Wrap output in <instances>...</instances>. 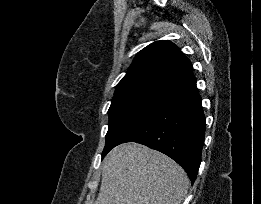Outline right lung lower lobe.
Masks as SVG:
<instances>
[{"instance_id": "1", "label": "right lung lower lobe", "mask_w": 261, "mask_h": 204, "mask_svg": "<svg viewBox=\"0 0 261 204\" xmlns=\"http://www.w3.org/2000/svg\"><path fill=\"white\" fill-rule=\"evenodd\" d=\"M204 133L205 115L196 78L193 77L171 90L113 147L125 142H137L158 150L176 161L193 184L201 162Z\"/></svg>"}]
</instances>
